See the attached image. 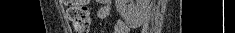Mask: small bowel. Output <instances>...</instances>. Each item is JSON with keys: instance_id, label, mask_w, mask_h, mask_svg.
Here are the masks:
<instances>
[{"instance_id": "c3829d8e", "label": "small bowel", "mask_w": 235, "mask_h": 33, "mask_svg": "<svg viewBox=\"0 0 235 33\" xmlns=\"http://www.w3.org/2000/svg\"><path fill=\"white\" fill-rule=\"evenodd\" d=\"M110 13H111L110 1L108 0L100 1V7L98 8L97 16L100 19H105L110 15ZM128 32H129V27L123 20L118 19L115 21L113 33H128Z\"/></svg>"}]
</instances>
